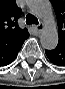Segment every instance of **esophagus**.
Here are the masks:
<instances>
[{"instance_id": "1", "label": "esophagus", "mask_w": 65, "mask_h": 89, "mask_svg": "<svg viewBox=\"0 0 65 89\" xmlns=\"http://www.w3.org/2000/svg\"><path fill=\"white\" fill-rule=\"evenodd\" d=\"M34 27H35L36 31H37L38 33H40V32L43 30L44 25L40 23V24H38V25H35Z\"/></svg>"}]
</instances>
